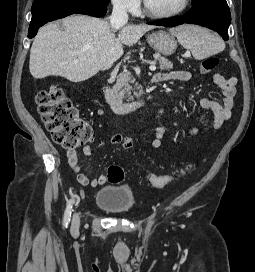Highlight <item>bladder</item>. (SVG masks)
<instances>
[{
  "mask_svg": "<svg viewBox=\"0 0 255 272\" xmlns=\"http://www.w3.org/2000/svg\"><path fill=\"white\" fill-rule=\"evenodd\" d=\"M135 204V194L129 185H107L96 194L95 205L112 214L129 212Z\"/></svg>",
  "mask_w": 255,
  "mask_h": 272,
  "instance_id": "obj_1",
  "label": "bladder"
}]
</instances>
